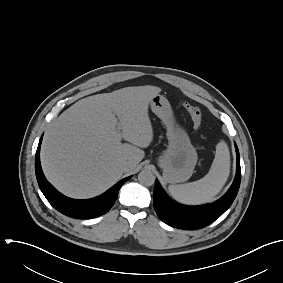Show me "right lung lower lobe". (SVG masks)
<instances>
[{
    "instance_id": "right-lung-lower-lobe-1",
    "label": "right lung lower lobe",
    "mask_w": 283,
    "mask_h": 283,
    "mask_svg": "<svg viewBox=\"0 0 283 283\" xmlns=\"http://www.w3.org/2000/svg\"><path fill=\"white\" fill-rule=\"evenodd\" d=\"M41 141L42 137L39 141L35 156V172L39 187L49 203L62 214L74 218L90 219L108 212L117 199L119 189L130 177L122 179L98 197L87 200H75L68 198L58 192L46 180L42 172L39 156Z\"/></svg>"
}]
</instances>
